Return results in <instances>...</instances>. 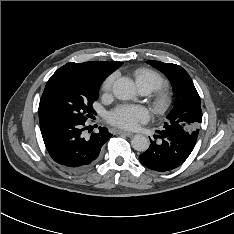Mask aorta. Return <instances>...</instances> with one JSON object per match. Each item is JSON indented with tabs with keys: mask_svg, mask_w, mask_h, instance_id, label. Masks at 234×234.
<instances>
[{
	"mask_svg": "<svg viewBox=\"0 0 234 234\" xmlns=\"http://www.w3.org/2000/svg\"><path fill=\"white\" fill-rule=\"evenodd\" d=\"M113 94L120 100H131L136 96L135 84L131 79L119 78L113 85ZM131 145L136 151L145 152L150 145L149 139L141 134L135 135L131 140Z\"/></svg>",
	"mask_w": 234,
	"mask_h": 234,
	"instance_id": "762f6f07",
	"label": "aorta"
}]
</instances>
